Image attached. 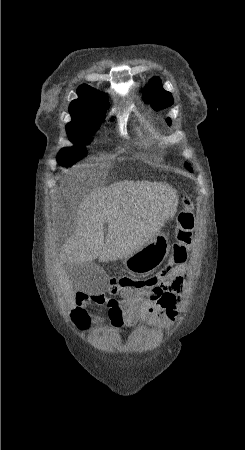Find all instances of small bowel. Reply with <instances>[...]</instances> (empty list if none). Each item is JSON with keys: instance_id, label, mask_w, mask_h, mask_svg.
I'll return each mask as SVG.
<instances>
[{"instance_id": "c3829d8e", "label": "small bowel", "mask_w": 245, "mask_h": 450, "mask_svg": "<svg viewBox=\"0 0 245 450\" xmlns=\"http://www.w3.org/2000/svg\"><path fill=\"white\" fill-rule=\"evenodd\" d=\"M187 265L165 267L160 273L149 277L143 288L137 291L116 290L110 295H95L90 298L94 305L106 306L111 326L120 332L125 327L145 322L161 328L178 319V304L184 290Z\"/></svg>"}]
</instances>
